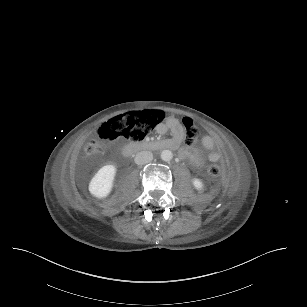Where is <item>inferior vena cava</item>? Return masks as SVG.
<instances>
[{"label": "inferior vena cava", "mask_w": 307, "mask_h": 307, "mask_svg": "<svg viewBox=\"0 0 307 307\" xmlns=\"http://www.w3.org/2000/svg\"><path fill=\"white\" fill-rule=\"evenodd\" d=\"M153 160V154L150 151L138 152L134 158V162L137 165H144L150 163Z\"/></svg>", "instance_id": "obj_1"}]
</instances>
